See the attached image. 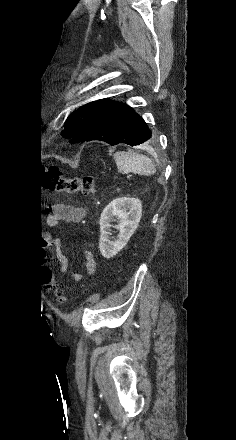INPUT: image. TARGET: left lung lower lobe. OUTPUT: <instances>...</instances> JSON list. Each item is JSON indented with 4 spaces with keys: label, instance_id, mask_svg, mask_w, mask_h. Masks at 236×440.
I'll list each match as a JSON object with an SVG mask.
<instances>
[{
    "label": "left lung lower lobe",
    "instance_id": "0a47b994",
    "mask_svg": "<svg viewBox=\"0 0 236 440\" xmlns=\"http://www.w3.org/2000/svg\"><path fill=\"white\" fill-rule=\"evenodd\" d=\"M155 139L145 121L127 104L110 101L81 127L70 143L100 140L116 145L149 144Z\"/></svg>",
    "mask_w": 236,
    "mask_h": 440
}]
</instances>
